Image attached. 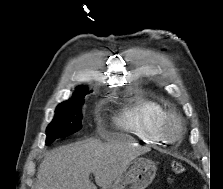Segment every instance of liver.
Listing matches in <instances>:
<instances>
[{"label": "liver", "mask_w": 223, "mask_h": 189, "mask_svg": "<svg viewBox=\"0 0 223 189\" xmlns=\"http://www.w3.org/2000/svg\"><path fill=\"white\" fill-rule=\"evenodd\" d=\"M142 150L121 142L103 143L95 139L56 148L41 162L35 189H102L112 184Z\"/></svg>", "instance_id": "obj_1"}]
</instances>
